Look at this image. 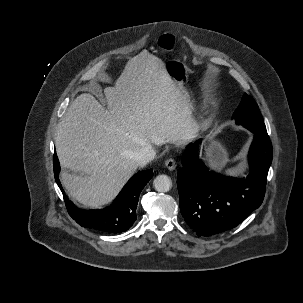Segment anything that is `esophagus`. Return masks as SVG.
<instances>
[{
    "label": "esophagus",
    "mask_w": 303,
    "mask_h": 303,
    "mask_svg": "<svg viewBox=\"0 0 303 303\" xmlns=\"http://www.w3.org/2000/svg\"><path fill=\"white\" fill-rule=\"evenodd\" d=\"M165 166H166V168L168 169V170H170V171H172V170H174L175 168H176V161L174 160V159H172V158H170V159H167L166 161H165Z\"/></svg>",
    "instance_id": "esophagus-1"
}]
</instances>
